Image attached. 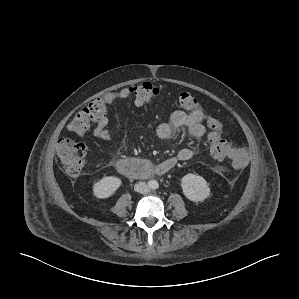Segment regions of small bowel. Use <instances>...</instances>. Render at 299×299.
Returning <instances> with one entry per match:
<instances>
[{"label":"small bowel","mask_w":299,"mask_h":299,"mask_svg":"<svg viewBox=\"0 0 299 299\" xmlns=\"http://www.w3.org/2000/svg\"><path fill=\"white\" fill-rule=\"evenodd\" d=\"M130 88H123L119 91L108 92L103 96L106 104H113L120 100H125L131 96ZM134 105L136 107H141L144 103L134 98ZM207 116L202 109H196L190 112L184 111H174L167 122L162 123L157 128V136L160 139H170L172 138L178 131L185 130L190 136L200 139L203 138L207 129L204 125V121ZM94 137L104 141L111 142V133L109 129V118L106 116H102L96 124V127L93 130ZM194 155V151L191 148H182L176 156L165 159L164 161L155 164L158 175L167 173L179 161H187L191 159Z\"/></svg>","instance_id":"obj_1"}]
</instances>
